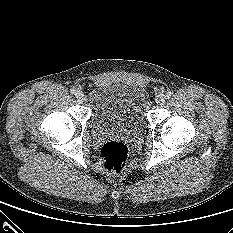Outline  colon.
Wrapping results in <instances>:
<instances>
[{"mask_svg":"<svg viewBox=\"0 0 233 233\" xmlns=\"http://www.w3.org/2000/svg\"><path fill=\"white\" fill-rule=\"evenodd\" d=\"M129 152L127 146L120 141H109L100 151L101 169L108 175H118L128 166Z\"/></svg>","mask_w":233,"mask_h":233,"instance_id":"1","label":"colon"}]
</instances>
